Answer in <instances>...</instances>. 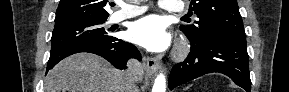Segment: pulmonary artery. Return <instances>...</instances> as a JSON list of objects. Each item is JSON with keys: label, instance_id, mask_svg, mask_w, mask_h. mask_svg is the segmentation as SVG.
Listing matches in <instances>:
<instances>
[{"label": "pulmonary artery", "instance_id": "obj_1", "mask_svg": "<svg viewBox=\"0 0 289 92\" xmlns=\"http://www.w3.org/2000/svg\"><path fill=\"white\" fill-rule=\"evenodd\" d=\"M159 5L163 10H166L168 12L181 13L183 11V6L174 1L161 0L159 2ZM121 6L122 9L115 12L110 17V22L117 23L122 20L138 16L146 11V8L141 6H132L125 4H122Z\"/></svg>", "mask_w": 289, "mask_h": 92}]
</instances>
